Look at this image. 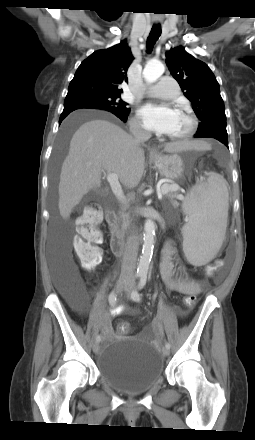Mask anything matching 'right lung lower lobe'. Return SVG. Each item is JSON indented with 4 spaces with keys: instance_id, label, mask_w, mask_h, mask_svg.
Listing matches in <instances>:
<instances>
[{
    "instance_id": "1",
    "label": "right lung lower lobe",
    "mask_w": 255,
    "mask_h": 440,
    "mask_svg": "<svg viewBox=\"0 0 255 440\" xmlns=\"http://www.w3.org/2000/svg\"><path fill=\"white\" fill-rule=\"evenodd\" d=\"M77 109H102V110H107L104 109L102 107H96V106H81V105H72V106H65L64 110L60 116L59 119V123H61L63 121V119L72 111L77 110ZM111 113H113L114 115H116L118 118H120L122 121H126L127 120V115L124 114H120L118 112L115 111H111V110H107Z\"/></svg>"
}]
</instances>
